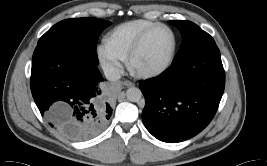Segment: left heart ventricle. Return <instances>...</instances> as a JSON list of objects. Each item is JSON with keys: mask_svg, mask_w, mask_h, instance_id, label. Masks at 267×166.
Returning <instances> with one entry per match:
<instances>
[{"mask_svg": "<svg viewBox=\"0 0 267 166\" xmlns=\"http://www.w3.org/2000/svg\"><path fill=\"white\" fill-rule=\"evenodd\" d=\"M172 35L169 30L159 28L146 39L134 64L139 70L155 69L163 65L170 56L172 49Z\"/></svg>", "mask_w": 267, "mask_h": 166, "instance_id": "b2bd125f", "label": "left heart ventricle"}]
</instances>
